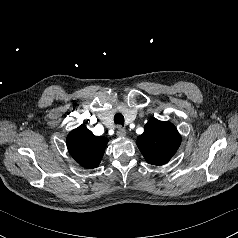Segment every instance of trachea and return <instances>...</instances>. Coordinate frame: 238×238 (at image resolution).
I'll use <instances>...</instances> for the list:
<instances>
[{
  "instance_id": "3493384b",
  "label": "trachea",
  "mask_w": 238,
  "mask_h": 238,
  "mask_svg": "<svg viewBox=\"0 0 238 238\" xmlns=\"http://www.w3.org/2000/svg\"><path fill=\"white\" fill-rule=\"evenodd\" d=\"M114 122L115 124H120V125H124V116L120 113H117L115 116H114Z\"/></svg>"
}]
</instances>
